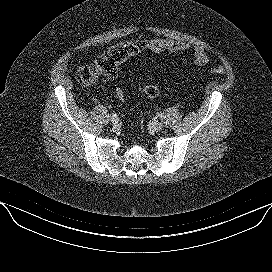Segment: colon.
<instances>
[{
    "label": "colon",
    "instance_id": "colon-1",
    "mask_svg": "<svg viewBox=\"0 0 272 272\" xmlns=\"http://www.w3.org/2000/svg\"><path fill=\"white\" fill-rule=\"evenodd\" d=\"M144 46V42L137 40L109 48L100 54L92 64L83 65L77 69V81L81 85L92 86L96 84L101 77L115 75L118 65L123 63L129 57L139 53ZM210 72L214 74H222L224 72V68L221 66H215L210 69ZM141 89L148 97L151 98L158 97L162 94V91L159 88L148 83H142ZM116 95L119 100H123L124 93L122 89L118 88L116 90Z\"/></svg>",
    "mask_w": 272,
    "mask_h": 272
}]
</instances>
